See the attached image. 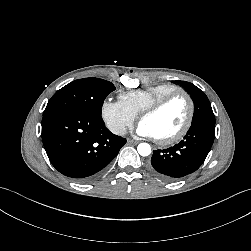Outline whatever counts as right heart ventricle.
<instances>
[{
	"instance_id": "right-heart-ventricle-1",
	"label": "right heart ventricle",
	"mask_w": 251,
	"mask_h": 251,
	"mask_svg": "<svg viewBox=\"0 0 251 251\" xmlns=\"http://www.w3.org/2000/svg\"><path fill=\"white\" fill-rule=\"evenodd\" d=\"M177 89L178 88L172 84H157L141 90L123 92L120 94L119 99L122 105L134 117H137L158 99Z\"/></svg>"
}]
</instances>
